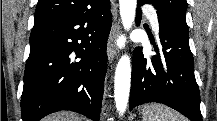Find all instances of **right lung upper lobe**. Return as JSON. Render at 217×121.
<instances>
[{
    "label": "right lung upper lobe",
    "instance_id": "1",
    "mask_svg": "<svg viewBox=\"0 0 217 121\" xmlns=\"http://www.w3.org/2000/svg\"><path fill=\"white\" fill-rule=\"evenodd\" d=\"M93 0H38L34 24L76 15L90 8Z\"/></svg>",
    "mask_w": 217,
    "mask_h": 121
}]
</instances>
